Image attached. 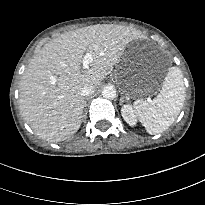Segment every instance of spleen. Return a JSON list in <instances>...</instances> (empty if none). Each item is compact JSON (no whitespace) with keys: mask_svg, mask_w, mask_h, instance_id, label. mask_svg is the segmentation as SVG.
I'll use <instances>...</instances> for the list:
<instances>
[{"mask_svg":"<svg viewBox=\"0 0 205 205\" xmlns=\"http://www.w3.org/2000/svg\"><path fill=\"white\" fill-rule=\"evenodd\" d=\"M185 87L180 68L171 67L159 94L153 100H137L134 110L146 131L162 133L176 120L185 101Z\"/></svg>","mask_w":205,"mask_h":205,"instance_id":"obj_1","label":"spleen"}]
</instances>
